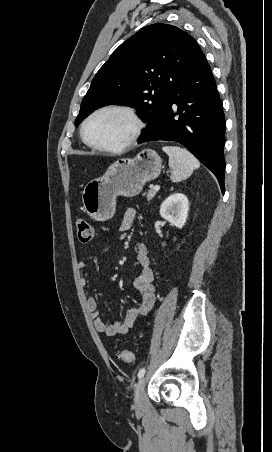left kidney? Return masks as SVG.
<instances>
[{"label":"left kidney","mask_w":272,"mask_h":452,"mask_svg":"<svg viewBox=\"0 0 272 452\" xmlns=\"http://www.w3.org/2000/svg\"><path fill=\"white\" fill-rule=\"evenodd\" d=\"M188 211L189 201L183 193L171 194L164 200L160 207L161 217L179 229L185 225Z\"/></svg>","instance_id":"5707ae66"}]
</instances>
